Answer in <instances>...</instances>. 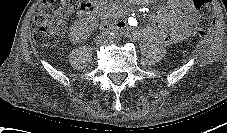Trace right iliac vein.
Returning a JSON list of instances; mask_svg holds the SVG:
<instances>
[{"instance_id":"63e3f726","label":"right iliac vein","mask_w":227,"mask_h":133,"mask_svg":"<svg viewBox=\"0 0 227 133\" xmlns=\"http://www.w3.org/2000/svg\"><path fill=\"white\" fill-rule=\"evenodd\" d=\"M107 39H110L109 37H101L100 39H99V42H105Z\"/></svg>"}]
</instances>
